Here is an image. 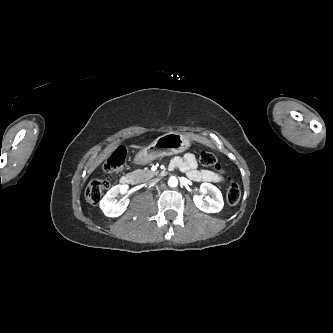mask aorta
Returning a JSON list of instances; mask_svg holds the SVG:
<instances>
[{
	"label": "aorta",
	"instance_id": "aorta-1",
	"mask_svg": "<svg viewBox=\"0 0 333 333\" xmlns=\"http://www.w3.org/2000/svg\"><path fill=\"white\" fill-rule=\"evenodd\" d=\"M168 185L170 187H176L178 185V179L175 176H171L168 180Z\"/></svg>",
	"mask_w": 333,
	"mask_h": 333
}]
</instances>
